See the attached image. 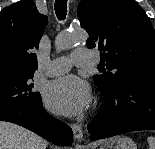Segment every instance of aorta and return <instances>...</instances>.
<instances>
[{
	"mask_svg": "<svg viewBox=\"0 0 155 149\" xmlns=\"http://www.w3.org/2000/svg\"><path fill=\"white\" fill-rule=\"evenodd\" d=\"M87 33L84 30H77L71 33H62L57 37L56 45L59 49H67L75 44L85 43Z\"/></svg>",
	"mask_w": 155,
	"mask_h": 149,
	"instance_id": "aorta-1",
	"label": "aorta"
}]
</instances>
